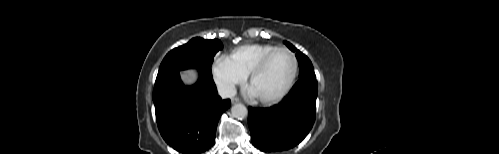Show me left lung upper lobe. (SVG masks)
<instances>
[{
	"label": "left lung upper lobe",
	"instance_id": "5c2ea615",
	"mask_svg": "<svg viewBox=\"0 0 499 154\" xmlns=\"http://www.w3.org/2000/svg\"><path fill=\"white\" fill-rule=\"evenodd\" d=\"M284 44H286V46L290 50H292L293 52H296V57H297V60L299 63V72H300L299 78L308 77V78L315 79L316 75L314 72L313 65H312L311 61L309 60V58L306 55H304L302 52L297 50L291 43L284 41Z\"/></svg>",
	"mask_w": 499,
	"mask_h": 154
}]
</instances>
